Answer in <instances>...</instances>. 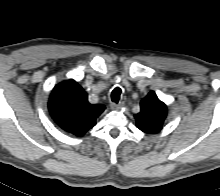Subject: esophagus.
I'll return each mask as SVG.
<instances>
[{"label":"esophagus","instance_id":"esophagus-1","mask_svg":"<svg viewBox=\"0 0 220 196\" xmlns=\"http://www.w3.org/2000/svg\"><path fill=\"white\" fill-rule=\"evenodd\" d=\"M122 104L121 103H118V104H116V103H111L110 104V108L112 109V110H120L121 108H122Z\"/></svg>","mask_w":220,"mask_h":196}]
</instances>
